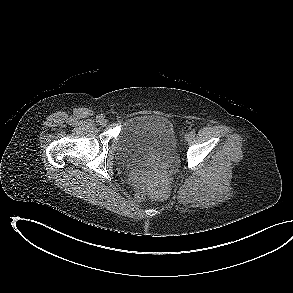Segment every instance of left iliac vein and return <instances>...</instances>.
I'll return each mask as SVG.
<instances>
[{
  "label": "left iliac vein",
  "mask_w": 293,
  "mask_h": 293,
  "mask_svg": "<svg viewBox=\"0 0 293 293\" xmlns=\"http://www.w3.org/2000/svg\"><path fill=\"white\" fill-rule=\"evenodd\" d=\"M190 136H191L190 133H187V134L185 135V137H184L185 140H188V139L190 138Z\"/></svg>",
  "instance_id": "obj_1"
}]
</instances>
